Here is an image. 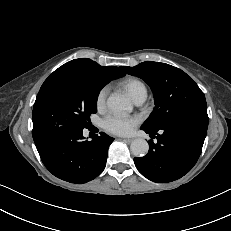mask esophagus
<instances>
[{
  "instance_id": "1",
  "label": "esophagus",
  "mask_w": 231,
  "mask_h": 231,
  "mask_svg": "<svg viewBox=\"0 0 231 231\" xmlns=\"http://www.w3.org/2000/svg\"><path fill=\"white\" fill-rule=\"evenodd\" d=\"M122 140L130 143L131 141H133V138H123Z\"/></svg>"
}]
</instances>
